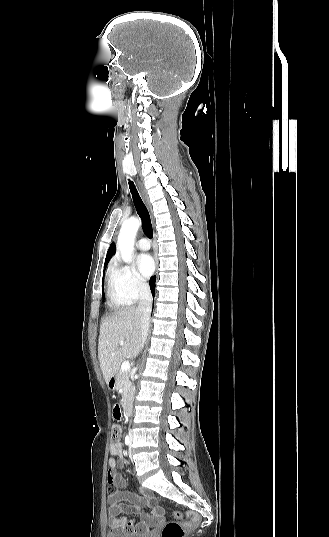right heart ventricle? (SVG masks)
<instances>
[{"mask_svg": "<svg viewBox=\"0 0 329 537\" xmlns=\"http://www.w3.org/2000/svg\"><path fill=\"white\" fill-rule=\"evenodd\" d=\"M107 295H108L109 304L113 308H121L131 303V302H128L126 299H124L117 292L114 286V282H113L111 274L109 275L108 281H107Z\"/></svg>", "mask_w": 329, "mask_h": 537, "instance_id": "obj_1", "label": "right heart ventricle"}]
</instances>
